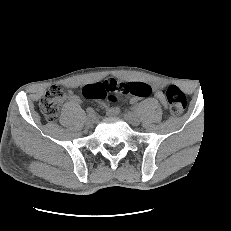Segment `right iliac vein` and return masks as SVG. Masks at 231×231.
I'll use <instances>...</instances> for the list:
<instances>
[{"label":"right iliac vein","mask_w":231,"mask_h":231,"mask_svg":"<svg viewBox=\"0 0 231 231\" xmlns=\"http://www.w3.org/2000/svg\"><path fill=\"white\" fill-rule=\"evenodd\" d=\"M96 123V117L94 115H88L86 119V124L87 125H93Z\"/></svg>","instance_id":"right-iliac-vein-1"}]
</instances>
